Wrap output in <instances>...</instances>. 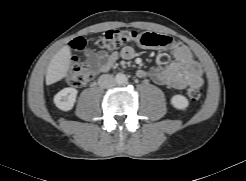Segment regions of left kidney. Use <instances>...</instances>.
I'll return each mask as SVG.
<instances>
[{
  "mask_svg": "<svg viewBox=\"0 0 246 181\" xmlns=\"http://www.w3.org/2000/svg\"><path fill=\"white\" fill-rule=\"evenodd\" d=\"M171 104L176 109L184 110V109H186L188 107L189 101L183 95H174L171 98Z\"/></svg>",
  "mask_w": 246,
  "mask_h": 181,
  "instance_id": "left-kidney-1",
  "label": "left kidney"
}]
</instances>
